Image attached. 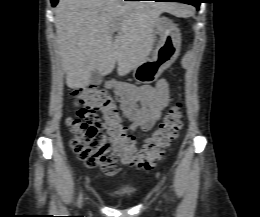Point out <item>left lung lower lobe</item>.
<instances>
[{"label":"left lung lower lobe","mask_w":260,"mask_h":217,"mask_svg":"<svg viewBox=\"0 0 260 217\" xmlns=\"http://www.w3.org/2000/svg\"><path fill=\"white\" fill-rule=\"evenodd\" d=\"M155 1L183 2L195 6L197 9H199L201 3V0H155Z\"/></svg>","instance_id":"obj_1"}]
</instances>
